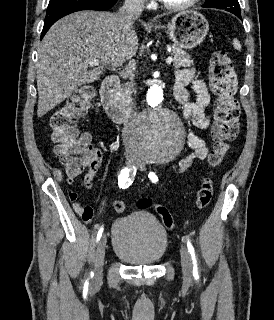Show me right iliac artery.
Listing matches in <instances>:
<instances>
[{
    "mask_svg": "<svg viewBox=\"0 0 274 320\" xmlns=\"http://www.w3.org/2000/svg\"><path fill=\"white\" fill-rule=\"evenodd\" d=\"M136 174V169L135 167L132 168H124L123 170H121L119 176H118V184L120 188H128L131 184H132V180L134 178ZM104 227L101 226L98 233H97V238L96 241L98 242L102 236Z\"/></svg>",
    "mask_w": 274,
    "mask_h": 320,
    "instance_id": "obj_1",
    "label": "right iliac artery"
}]
</instances>
